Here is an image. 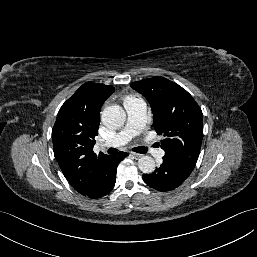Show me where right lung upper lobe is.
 Instances as JSON below:
<instances>
[{"instance_id":"obj_1","label":"right lung upper lobe","mask_w":257,"mask_h":257,"mask_svg":"<svg viewBox=\"0 0 257 257\" xmlns=\"http://www.w3.org/2000/svg\"><path fill=\"white\" fill-rule=\"evenodd\" d=\"M111 85L86 82L60 108L52 130L54 156L72 187L84 193L108 156L93 152L100 109L114 92Z\"/></svg>"}]
</instances>
